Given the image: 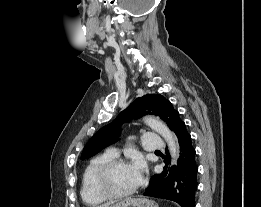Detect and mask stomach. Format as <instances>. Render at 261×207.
Instances as JSON below:
<instances>
[{"label": "stomach", "instance_id": "stomach-1", "mask_svg": "<svg viewBox=\"0 0 261 207\" xmlns=\"http://www.w3.org/2000/svg\"><path fill=\"white\" fill-rule=\"evenodd\" d=\"M109 207H159L156 202L148 198H126Z\"/></svg>", "mask_w": 261, "mask_h": 207}]
</instances>
